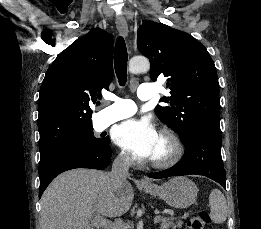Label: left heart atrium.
<instances>
[{
    "label": "left heart atrium",
    "mask_w": 261,
    "mask_h": 229,
    "mask_svg": "<svg viewBox=\"0 0 261 229\" xmlns=\"http://www.w3.org/2000/svg\"><path fill=\"white\" fill-rule=\"evenodd\" d=\"M160 136L148 120L131 119L121 123L115 132V141L129 149L136 157L151 159Z\"/></svg>",
    "instance_id": "obj_1"
}]
</instances>
